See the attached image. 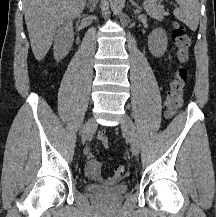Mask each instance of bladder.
Wrapping results in <instances>:
<instances>
[{
  "instance_id": "31cf9c89",
  "label": "bladder",
  "mask_w": 216,
  "mask_h": 217,
  "mask_svg": "<svg viewBox=\"0 0 216 217\" xmlns=\"http://www.w3.org/2000/svg\"><path fill=\"white\" fill-rule=\"evenodd\" d=\"M86 191L98 199L105 202H114L125 196L128 192L126 184H116L111 187L100 188L93 184H88L85 187Z\"/></svg>"
}]
</instances>
